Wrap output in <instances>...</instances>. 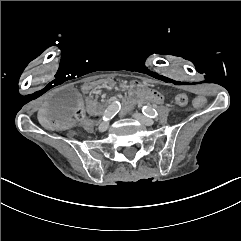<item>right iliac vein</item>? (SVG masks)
Instances as JSON below:
<instances>
[{"label": "right iliac vein", "mask_w": 241, "mask_h": 241, "mask_svg": "<svg viewBox=\"0 0 241 241\" xmlns=\"http://www.w3.org/2000/svg\"><path fill=\"white\" fill-rule=\"evenodd\" d=\"M108 126H109V123L105 121L99 125L98 129L100 132H104L105 130H107Z\"/></svg>", "instance_id": "63e3f726"}]
</instances>
